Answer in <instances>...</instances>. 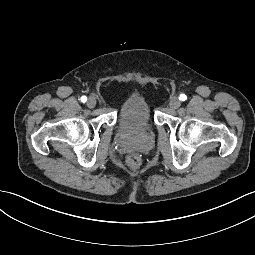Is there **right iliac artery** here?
<instances>
[{"label": "right iliac artery", "instance_id": "82829eb1", "mask_svg": "<svg viewBox=\"0 0 255 255\" xmlns=\"http://www.w3.org/2000/svg\"><path fill=\"white\" fill-rule=\"evenodd\" d=\"M81 101L84 103V102H86L87 101V97L86 96H82L81 97Z\"/></svg>", "mask_w": 255, "mask_h": 255}]
</instances>
